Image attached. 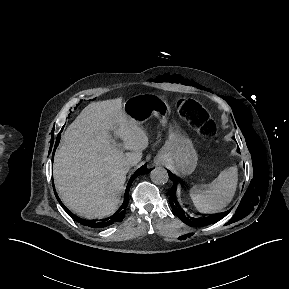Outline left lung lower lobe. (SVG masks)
<instances>
[{"mask_svg": "<svg viewBox=\"0 0 289 289\" xmlns=\"http://www.w3.org/2000/svg\"><path fill=\"white\" fill-rule=\"evenodd\" d=\"M170 177V176H169ZM176 185L175 183H173V187L171 188V190H169V202L170 205L172 207L173 213L178 215V217L186 224H188L189 226H197V227H202L205 225H209L212 224L214 222H217L218 220L221 219V217L217 216L215 218H193L187 214H185L184 210L182 209V207L179 205L176 196Z\"/></svg>", "mask_w": 289, "mask_h": 289, "instance_id": "obj_1", "label": "left lung lower lobe"}]
</instances>
